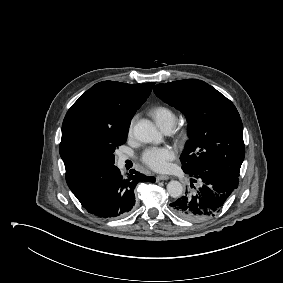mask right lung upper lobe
<instances>
[{"mask_svg": "<svg viewBox=\"0 0 283 283\" xmlns=\"http://www.w3.org/2000/svg\"><path fill=\"white\" fill-rule=\"evenodd\" d=\"M154 84L99 82L68 110L62 124L59 151L72 192L101 177L113 166L94 144L107 132L129 128Z\"/></svg>", "mask_w": 283, "mask_h": 283, "instance_id": "obj_1", "label": "right lung upper lobe"}]
</instances>
